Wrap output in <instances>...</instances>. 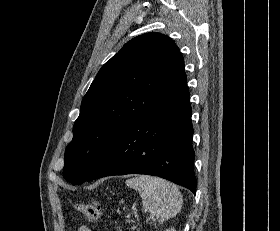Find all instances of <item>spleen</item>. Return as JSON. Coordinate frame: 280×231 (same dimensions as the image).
<instances>
[{"instance_id": "1", "label": "spleen", "mask_w": 280, "mask_h": 231, "mask_svg": "<svg viewBox=\"0 0 280 231\" xmlns=\"http://www.w3.org/2000/svg\"><path fill=\"white\" fill-rule=\"evenodd\" d=\"M126 185L138 189L144 211L155 213L159 223L175 217L182 207V195L175 183L152 175H137L126 179Z\"/></svg>"}]
</instances>
